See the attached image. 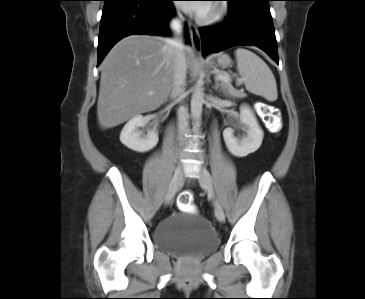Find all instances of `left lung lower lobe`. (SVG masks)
Masks as SVG:
<instances>
[{"instance_id": "0a47b994", "label": "left lung lower lobe", "mask_w": 365, "mask_h": 299, "mask_svg": "<svg viewBox=\"0 0 365 299\" xmlns=\"http://www.w3.org/2000/svg\"><path fill=\"white\" fill-rule=\"evenodd\" d=\"M229 1L228 16L215 26L200 28L204 54L235 45H255L279 64L271 0Z\"/></svg>"}]
</instances>
